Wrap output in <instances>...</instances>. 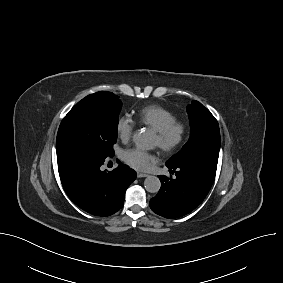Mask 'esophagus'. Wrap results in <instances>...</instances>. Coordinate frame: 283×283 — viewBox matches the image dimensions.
Wrapping results in <instances>:
<instances>
[{
	"instance_id": "1",
	"label": "esophagus",
	"mask_w": 283,
	"mask_h": 283,
	"mask_svg": "<svg viewBox=\"0 0 283 283\" xmlns=\"http://www.w3.org/2000/svg\"><path fill=\"white\" fill-rule=\"evenodd\" d=\"M147 176H148V174H146V173H141V172L137 173L138 178H143V177H147Z\"/></svg>"
}]
</instances>
